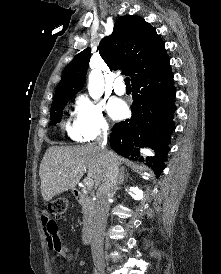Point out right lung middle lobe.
Listing matches in <instances>:
<instances>
[{
  "mask_svg": "<svg viewBox=\"0 0 221 274\" xmlns=\"http://www.w3.org/2000/svg\"><path fill=\"white\" fill-rule=\"evenodd\" d=\"M74 95H66L54 98L52 105H51V121L55 125L57 122H60L62 117V111L66 106L68 100H70Z\"/></svg>",
  "mask_w": 221,
  "mask_h": 274,
  "instance_id": "1",
  "label": "right lung middle lobe"
}]
</instances>
